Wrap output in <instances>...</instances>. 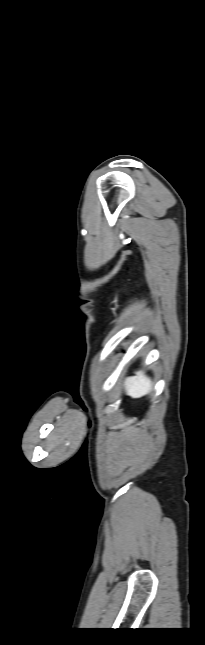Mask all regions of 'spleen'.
Segmentation results:
<instances>
[{
    "mask_svg": "<svg viewBox=\"0 0 205 645\" xmlns=\"http://www.w3.org/2000/svg\"><path fill=\"white\" fill-rule=\"evenodd\" d=\"M125 388L129 396L139 398L151 391L152 382L143 372L139 371L136 373V376L126 379Z\"/></svg>",
    "mask_w": 205,
    "mask_h": 645,
    "instance_id": "obj_1",
    "label": "spleen"
}]
</instances>
